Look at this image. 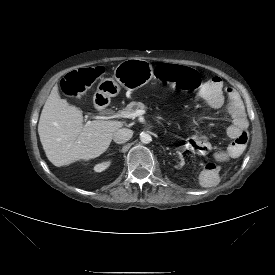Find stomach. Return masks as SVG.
<instances>
[{"label": "stomach", "mask_w": 275, "mask_h": 275, "mask_svg": "<svg viewBox=\"0 0 275 275\" xmlns=\"http://www.w3.org/2000/svg\"><path fill=\"white\" fill-rule=\"evenodd\" d=\"M153 77V68L146 60L137 58L127 59L114 69L113 78L102 79L97 92L108 97L116 96L120 87L136 90L147 84Z\"/></svg>", "instance_id": "obj_1"}]
</instances>
